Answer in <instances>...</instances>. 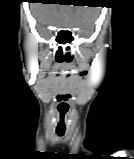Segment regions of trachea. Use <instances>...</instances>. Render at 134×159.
<instances>
[{
  "mask_svg": "<svg viewBox=\"0 0 134 159\" xmlns=\"http://www.w3.org/2000/svg\"><path fill=\"white\" fill-rule=\"evenodd\" d=\"M57 135H58L59 137H62V136L64 135V133L57 132Z\"/></svg>",
  "mask_w": 134,
  "mask_h": 159,
  "instance_id": "trachea-1",
  "label": "trachea"
}]
</instances>
